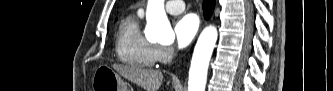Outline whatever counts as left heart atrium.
<instances>
[{"mask_svg": "<svg viewBox=\"0 0 333 91\" xmlns=\"http://www.w3.org/2000/svg\"><path fill=\"white\" fill-rule=\"evenodd\" d=\"M198 18L194 14L180 17L174 25L175 40L179 48L187 47L198 31Z\"/></svg>", "mask_w": 333, "mask_h": 91, "instance_id": "39dd6f15", "label": "left heart atrium"}]
</instances>
